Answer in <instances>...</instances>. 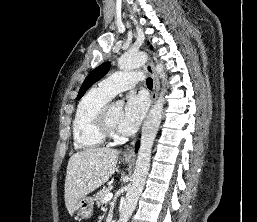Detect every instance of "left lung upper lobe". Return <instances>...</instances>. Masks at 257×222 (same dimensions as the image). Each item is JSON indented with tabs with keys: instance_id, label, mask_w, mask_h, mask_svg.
I'll use <instances>...</instances> for the list:
<instances>
[{
	"instance_id": "obj_1",
	"label": "left lung upper lobe",
	"mask_w": 257,
	"mask_h": 222,
	"mask_svg": "<svg viewBox=\"0 0 257 222\" xmlns=\"http://www.w3.org/2000/svg\"><path fill=\"white\" fill-rule=\"evenodd\" d=\"M109 68L110 63L105 62L102 65L95 68L93 71H91L89 75L85 78L79 90L77 99H80L85 94V92L91 87V85H93L95 82L101 79L108 72Z\"/></svg>"
}]
</instances>
